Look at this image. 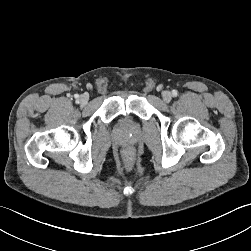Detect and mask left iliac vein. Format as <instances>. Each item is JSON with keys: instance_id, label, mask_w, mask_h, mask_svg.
<instances>
[{"instance_id": "obj_1", "label": "left iliac vein", "mask_w": 251, "mask_h": 251, "mask_svg": "<svg viewBox=\"0 0 251 251\" xmlns=\"http://www.w3.org/2000/svg\"><path fill=\"white\" fill-rule=\"evenodd\" d=\"M162 97L165 102H170V100L172 99V94L169 91H164Z\"/></svg>"}]
</instances>
